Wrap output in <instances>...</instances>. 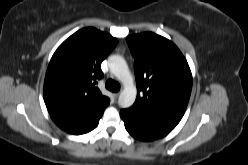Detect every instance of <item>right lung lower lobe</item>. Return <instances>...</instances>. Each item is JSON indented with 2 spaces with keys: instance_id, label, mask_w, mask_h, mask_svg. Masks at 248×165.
Here are the masks:
<instances>
[{
  "instance_id": "obj_1",
  "label": "right lung lower lobe",
  "mask_w": 248,
  "mask_h": 165,
  "mask_svg": "<svg viewBox=\"0 0 248 165\" xmlns=\"http://www.w3.org/2000/svg\"><path fill=\"white\" fill-rule=\"evenodd\" d=\"M97 125H98V123H96L91 129H89L88 131H86V132H84V133H87V132L93 130L95 127H97ZM82 134H83V133H82Z\"/></svg>"
}]
</instances>
